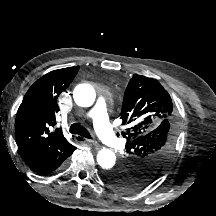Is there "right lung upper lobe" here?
<instances>
[{
  "mask_svg": "<svg viewBox=\"0 0 216 216\" xmlns=\"http://www.w3.org/2000/svg\"><path fill=\"white\" fill-rule=\"evenodd\" d=\"M79 66L51 71L27 91L17 111L15 129L19 151L32 171L73 153L75 146L56 124L57 98L73 81Z\"/></svg>",
  "mask_w": 216,
  "mask_h": 216,
  "instance_id": "obj_1",
  "label": "right lung upper lobe"
}]
</instances>
